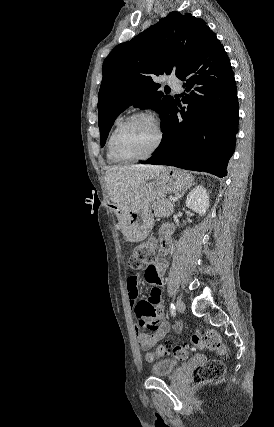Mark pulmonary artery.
I'll return each mask as SVG.
<instances>
[{
	"mask_svg": "<svg viewBox=\"0 0 274 427\" xmlns=\"http://www.w3.org/2000/svg\"><path fill=\"white\" fill-rule=\"evenodd\" d=\"M168 81H169V83L173 84V83H175L176 80H175V78L171 77V78H169ZM172 88L177 92L181 91V85L179 83L173 84Z\"/></svg>",
	"mask_w": 274,
	"mask_h": 427,
	"instance_id": "1",
	"label": "pulmonary artery"
}]
</instances>
